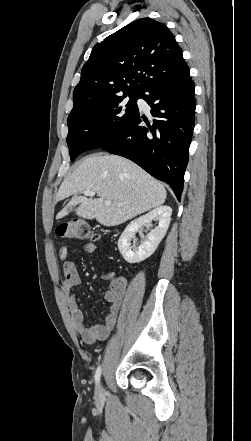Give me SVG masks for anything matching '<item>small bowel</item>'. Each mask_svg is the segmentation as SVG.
<instances>
[{"mask_svg":"<svg viewBox=\"0 0 251 441\" xmlns=\"http://www.w3.org/2000/svg\"><path fill=\"white\" fill-rule=\"evenodd\" d=\"M84 251L87 254H93L96 250L94 243L88 242L84 244ZM59 258L66 260L69 255L68 246L63 245L58 251ZM63 274L65 280L63 282V290L67 296V306L70 312L73 325L81 336L82 340L87 344H93L98 341H104L110 335L117 323V316L121 306L122 298L126 291V281L123 278L112 279L108 290L105 292L104 298L109 303V309L102 323L87 326L85 323L83 312L77 303L76 291L82 285L81 277L78 273L76 265L71 261H65L63 264Z\"/></svg>","mask_w":251,"mask_h":441,"instance_id":"c3829d8e","label":"small bowel"}]
</instances>
